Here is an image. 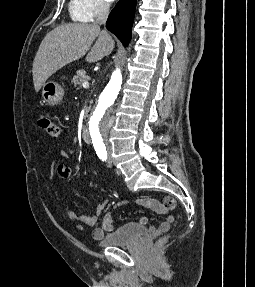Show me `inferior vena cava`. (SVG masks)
Masks as SVG:
<instances>
[{
    "label": "inferior vena cava",
    "instance_id": "1",
    "mask_svg": "<svg viewBox=\"0 0 255 287\" xmlns=\"http://www.w3.org/2000/svg\"><path fill=\"white\" fill-rule=\"evenodd\" d=\"M109 4H106V2H102V4H100L99 6V12L97 14V18H96V22L95 24H106L107 22V18L109 16ZM103 138H104V142H106V144H108V132L107 130H105L104 134H103Z\"/></svg>",
    "mask_w": 255,
    "mask_h": 287
}]
</instances>
